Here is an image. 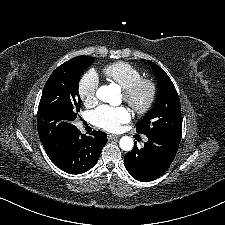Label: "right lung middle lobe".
Returning <instances> with one entry per match:
<instances>
[{
  "label": "right lung middle lobe",
  "mask_w": 225,
  "mask_h": 225,
  "mask_svg": "<svg viewBox=\"0 0 225 225\" xmlns=\"http://www.w3.org/2000/svg\"><path fill=\"white\" fill-rule=\"evenodd\" d=\"M94 62V57H74L55 69L47 80L37 113L41 142L61 141L77 129L73 122L81 107L80 76Z\"/></svg>",
  "instance_id": "dd1d6c3e"
}]
</instances>
